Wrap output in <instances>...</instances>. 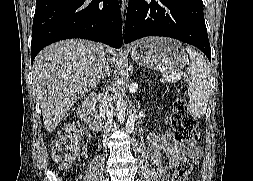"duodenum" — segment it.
<instances>
[{"label": "duodenum", "mask_w": 253, "mask_h": 181, "mask_svg": "<svg viewBox=\"0 0 253 181\" xmlns=\"http://www.w3.org/2000/svg\"><path fill=\"white\" fill-rule=\"evenodd\" d=\"M95 101L93 98H88L82 108L81 113L84 119L88 122L93 131L100 130L99 114L95 112Z\"/></svg>", "instance_id": "1"}]
</instances>
